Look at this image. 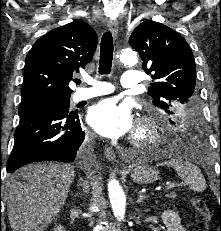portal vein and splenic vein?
<instances>
[{
	"label": "portal vein and splenic vein",
	"instance_id": "obj_1",
	"mask_svg": "<svg viewBox=\"0 0 221 231\" xmlns=\"http://www.w3.org/2000/svg\"><path fill=\"white\" fill-rule=\"evenodd\" d=\"M175 183H170V184H168L167 185V187H166V190H171V189H173L174 187H175Z\"/></svg>",
	"mask_w": 221,
	"mask_h": 231
}]
</instances>
